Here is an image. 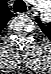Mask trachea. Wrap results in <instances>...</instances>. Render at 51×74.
Here are the masks:
<instances>
[{
  "label": "trachea",
  "mask_w": 51,
  "mask_h": 74,
  "mask_svg": "<svg viewBox=\"0 0 51 74\" xmlns=\"http://www.w3.org/2000/svg\"><path fill=\"white\" fill-rule=\"evenodd\" d=\"M23 8H26L25 3L22 0H17L14 5V11L19 12Z\"/></svg>",
  "instance_id": "1"
}]
</instances>
